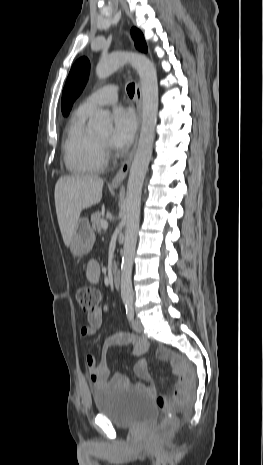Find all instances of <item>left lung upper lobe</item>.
Instances as JSON below:
<instances>
[{
  "instance_id": "1",
  "label": "left lung upper lobe",
  "mask_w": 263,
  "mask_h": 465,
  "mask_svg": "<svg viewBox=\"0 0 263 465\" xmlns=\"http://www.w3.org/2000/svg\"><path fill=\"white\" fill-rule=\"evenodd\" d=\"M131 35L136 48L142 52H147L142 32L137 28H132ZM89 70L90 63L85 57L78 59L72 66L62 93L61 109L64 116L69 114L73 102L81 94L87 82Z\"/></svg>"
}]
</instances>
